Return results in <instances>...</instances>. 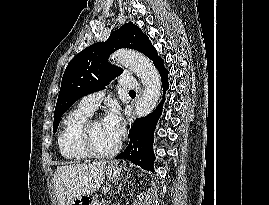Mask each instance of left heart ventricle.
<instances>
[{
	"label": "left heart ventricle",
	"instance_id": "1",
	"mask_svg": "<svg viewBox=\"0 0 269 205\" xmlns=\"http://www.w3.org/2000/svg\"><path fill=\"white\" fill-rule=\"evenodd\" d=\"M92 142L98 151L105 152L113 149L118 141L111 136L100 120L92 128Z\"/></svg>",
	"mask_w": 269,
	"mask_h": 205
}]
</instances>
